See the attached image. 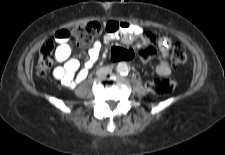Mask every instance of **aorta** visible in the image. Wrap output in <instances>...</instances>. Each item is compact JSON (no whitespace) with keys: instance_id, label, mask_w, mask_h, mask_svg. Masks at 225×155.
Returning <instances> with one entry per match:
<instances>
[{"instance_id":"762f6f07","label":"aorta","mask_w":225,"mask_h":155,"mask_svg":"<svg viewBox=\"0 0 225 155\" xmlns=\"http://www.w3.org/2000/svg\"><path fill=\"white\" fill-rule=\"evenodd\" d=\"M116 71L120 75H125L129 72V66L126 63H119L116 67Z\"/></svg>"}]
</instances>
